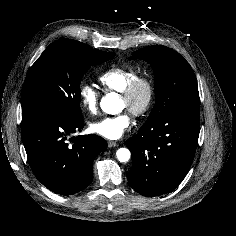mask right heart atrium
<instances>
[{
    "label": "right heart atrium",
    "mask_w": 236,
    "mask_h": 236,
    "mask_svg": "<svg viewBox=\"0 0 236 236\" xmlns=\"http://www.w3.org/2000/svg\"><path fill=\"white\" fill-rule=\"evenodd\" d=\"M79 97L82 106L90 113L98 112L99 94L97 90L90 84H83L79 88Z\"/></svg>",
    "instance_id": "1"
}]
</instances>
